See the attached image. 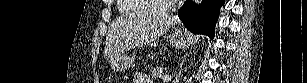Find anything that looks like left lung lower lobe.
Returning a JSON list of instances; mask_svg holds the SVG:
<instances>
[{"label": "left lung lower lobe", "instance_id": "0a47b994", "mask_svg": "<svg viewBox=\"0 0 307 83\" xmlns=\"http://www.w3.org/2000/svg\"><path fill=\"white\" fill-rule=\"evenodd\" d=\"M224 3L225 0H203L196 6L191 0H187L179 9L178 16L191 32L213 38L219 11Z\"/></svg>", "mask_w": 307, "mask_h": 83}]
</instances>
